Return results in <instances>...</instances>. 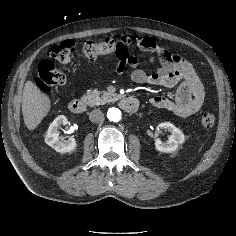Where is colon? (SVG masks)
I'll return each instance as SVG.
<instances>
[{
    "label": "colon",
    "mask_w": 236,
    "mask_h": 236,
    "mask_svg": "<svg viewBox=\"0 0 236 236\" xmlns=\"http://www.w3.org/2000/svg\"><path fill=\"white\" fill-rule=\"evenodd\" d=\"M76 44L73 40H65L56 45H53L48 56L58 62H67L74 52ZM82 56L87 60H95L99 57L116 54L122 56L127 53L125 48L113 39H106L101 42H85L82 46ZM38 87L43 92H50L53 88L61 86L65 83L64 74L55 68L53 62L45 59L38 66V75L36 79ZM216 117L211 112H203L200 115V122L206 128H211L215 124Z\"/></svg>",
    "instance_id": "5ec220e1"
}]
</instances>
